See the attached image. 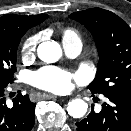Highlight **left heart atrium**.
<instances>
[{
  "label": "left heart atrium",
  "instance_id": "39dd6f15",
  "mask_svg": "<svg viewBox=\"0 0 131 131\" xmlns=\"http://www.w3.org/2000/svg\"><path fill=\"white\" fill-rule=\"evenodd\" d=\"M75 78L76 76L69 71L47 66L32 73L31 83L46 91L65 93L71 89Z\"/></svg>",
  "mask_w": 131,
  "mask_h": 131
}]
</instances>
